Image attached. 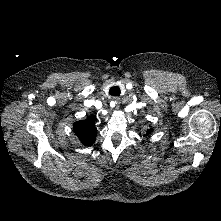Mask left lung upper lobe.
I'll return each mask as SVG.
<instances>
[{"label": "left lung upper lobe", "instance_id": "1", "mask_svg": "<svg viewBox=\"0 0 221 221\" xmlns=\"http://www.w3.org/2000/svg\"><path fill=\"white\" fill-rule=\"evenodd\" d=\"M151 131H147V134H150Z\"/></svg>", "mask_w": 221, "mask_h": 221}]
</instances>
